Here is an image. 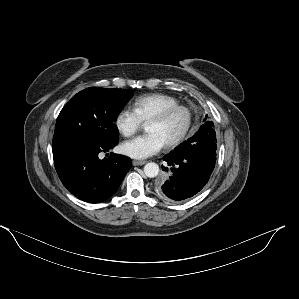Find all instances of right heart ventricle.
I'll use <instances>...</instances> for the list:
<instances>
[{"label": "right heart ventricle", "mask_w": 299, "mask_h": 299, "mask_svg": "<svg viewBox=\"0 0 299 299\" xmlns=\"http://www.w3.org/2000/svg\"><path fill=\"white\" fill-rule=\"evenodd\" d=\"M179 100L165 93H149L137 97L133 102V110L142 122H148L153 116L165 108L178 105Z\"/></svg>", "instance_id": "obj_1"}]
</instances>
